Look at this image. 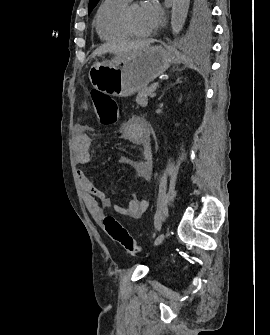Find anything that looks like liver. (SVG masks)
Instances as JSON below:
<instances>
[{
    "mask_svg": "<svg viewBox=\"0 0 270 335\" xmlns=\"http://www.w3.org/2000/svg\"><path fill=\"white\" fill-rule=\"evenodd\" d=\"M148 40H144V42H126V44H122L121 48H118V54H127V52H135V50H142L145 46H148ZM115 50L114 46L111 44H102L99 46L97 50H94L92 56H102V54H107V52H113Z\"/></svg>",
    "mask_w": 270,
    "mask_h": 335,
    "instance_id": "6515ba94",
    "label": "liver"
}]
</instances>
